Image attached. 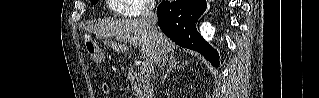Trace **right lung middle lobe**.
<instances>
[{
    "instance_id": "right-lung-middle-lobe-1",
    "label": "right lung middle lobe",
    "mask_w": 319,
    "mask_h": 98,
    "mask_svg": "<svg viewBox=\"0 0 319 98\" xmlns=\"http://www.w3.org/2000/svg\"><path fill=\"white\" fill-rule=\"evenodd\" d=\"M98 2V0H91L92 4H96Z\"/></svg>"
}]
</instances>
